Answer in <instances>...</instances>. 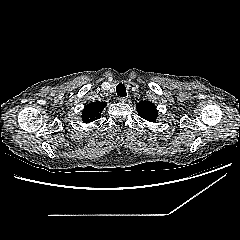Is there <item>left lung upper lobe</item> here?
Segmentation results:
<instances>
[{
    "mask_svg": "<svg viewBox=\"0 0 240 240\" xmlns=\"http://www.w3.org/2000/svg\"><path fill=\"white\" fill-rule=\"evenodd\" d=\"M136 108L140 117L149 122H156L158 113L156 106L152 102L140 101L136 104Z\"/></svg>",
    "mask_w": 240,
    "mask_h": 240,
    "instance_id": "left-lung-upper-lobe-1",
    "label": "left lung upper lobe"
}]
</instances>
